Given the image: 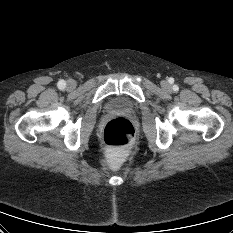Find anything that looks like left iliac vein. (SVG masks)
Masks as SVG:
<instances>
[{
    "instance_id": "4c4485c4",
    "label": "left iliac vein",
    "mask_w": 233,
    "mask_h": 233,
    "mask_svg": "<svg viewBox=\"0 0 233 233\" xmlns=\"http://www.w3.org/2000/svg\"><path fill=\"white\" fill-rule=\"evenodd\" d=\"M162 87L165 89V90H170V85L168 84V82H166V81H164L163 83H162Z\"/></svg>"
}]
</instances>
